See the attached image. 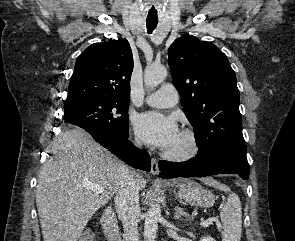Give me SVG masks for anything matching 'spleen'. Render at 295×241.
Here are the masks:
<instances>
[{"mask_svg": "<svg viewBox=\"0 0 295 241\" xmlns=\"http://www.w3.org/2000/svg\"><path fill=\"white\" fill-rule=\"evenodd\" d=\"M203 183L229 192L227 202L224 204L220 218L224 232L222 241H240L242 232V208L238 195L230 190L225 184H221L211 178H206Z\"/></svg>", "mask_w": 295, "mask_h": 241, "instance_id": "3e777b00", "label": "spleen"}]
</instances>
